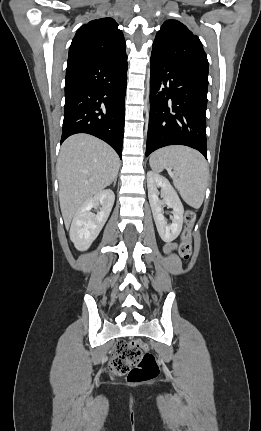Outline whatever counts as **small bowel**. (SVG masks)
Wrapping results in <instances>:
<instances>
[{
    "label": "small bowel",
    "mask_w": 261,
    "mask_h": 431,
    "mask_svg": "<svg viewBox=\"0 0 261 431\" xmlns=\"http://www.w3.org/2000/svg\"><path fill=\"white\" fill-rule=\"evenodd\" d=\"M175 247H176L175 243H169L165 246L164 249L166 253H171L175 249Z\"/></svg>",
    "instance_id": "c3829d8e"
}]
</instances>
